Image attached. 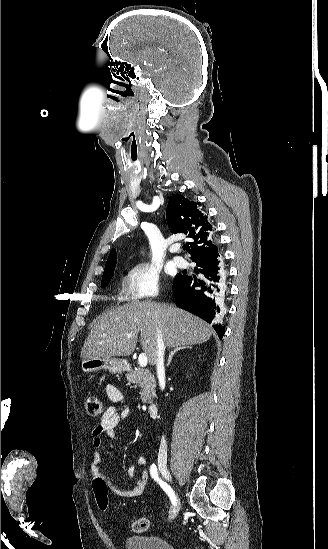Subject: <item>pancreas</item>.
Returning <instances> with one entry per match:
<instances>
[{"mask_svg":"<svg viewBox=\"0 0 328 549\" xmlns=\"http://www.w3.org/2000/svg\"><path fill=\"white\" fill-rule=\"evenodd\" d=\"M126 377L129 383H135V385L141 387L140 395L142 403H152V399H154L156 393V381L150 371L138 367L135 371L127 373Z\"/></svg>","mask_w":328,"mask_h":549,"instance_id":"obj_1","label":"pancreas"}]
</instances>
